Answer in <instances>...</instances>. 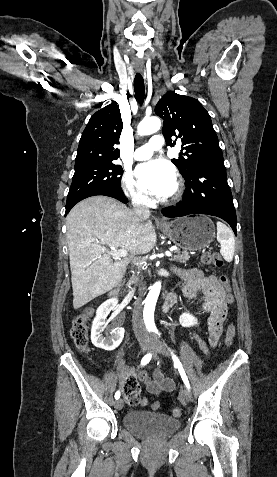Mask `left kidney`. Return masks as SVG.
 <instances>
[{
	"mask_svg": "<svg viewBox=\"0 0 277 477\" xmlns=\"http://www.w3.org/2000/svg\"><path fill=\"white\" fill-rule=\"evenodd\" d=\"M179 322L183 327H191L198 324L197 319L189 313H183L179 318Z\"/></svg>",
	"mask_w": 277,
	"mask_h": 477,
	"instance_id": "5707ae66",
	"label": "left kidney"
}]
</instances>
